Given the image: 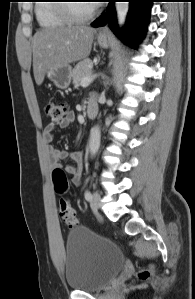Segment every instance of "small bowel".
<instances>
[{
    "label": "small bowel",
    "mask_w": 195,
    "mask_h": 299,
    "mask_svg": "<svg viewBox=\"0 0 195 299\" xmlns=\"http://www.w3.org/2000/svg\"><path fill=\"white\" fill-rule=\"evenodd\" d=\"M74 121V116L69 114L59 123L48 124L43 131V139L47 143V152L53 165H57L65 159H70L71 164L66 166V171L72 174V183L79 185L82 178L83 159L84 155L81 151L68 152L66 150L58 149L51 145L54 138L55 131L60 129H66L71 126Z\"/></svg>",
    "instance_id": "1"
}]
</instances>
